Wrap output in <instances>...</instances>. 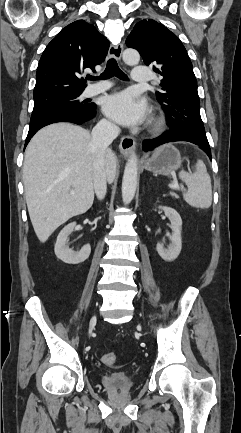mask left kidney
<instances>
[{
    "label": "left kidney",
    "mask_w": 241,
    "mask_h": 433,
    "mask_svg": "<svg viewBox=\"0 0 241 433\" xmlns=\"http://www.w3.org/2000/svg\"><path fill=\"white\" fill-rule=\"evenodd\" d=\"M159 208L164 211L165 215L170 220L172 234L169 236L171 244L168 246V248H165L163 243H157L156 250L163 260L172 262L179 256L182 248V219L178 212L173 208L162 206H159Z\"/></svg>",
    "instance_id": "5707ae66"
}]
</instances>
